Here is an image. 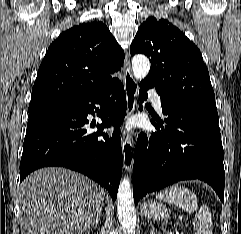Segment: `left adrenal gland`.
I'll use <instances>...</instances> for the list:
<instances>
[{
	"label": "left adrenal gland",
	"mask_w": 241,
	"mask_h": 234,
	"mask_svg": "<svg viewBox=\"0 0 241 234\" xmlns=\"http://www.w3.org/2000/svg\"><path fill=\"white\" fill-rule=\"evenodd\" d=\"M150 234H156V231H155L154 226H152V229H151V231H150Z\"/></svg>",
	"instance_id": "left-adrenal-gland-1"
}]
</instances>
